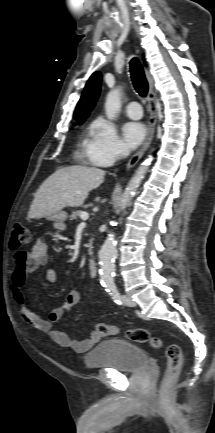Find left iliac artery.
<instances>
[{
    "label": "left iliac artery",
    "mask_w": 215,
    "mask_h": 433,
    "mask_svg": "<svg viewBox=\"0 0 215 433\" xmlns=\"http://www.w3.org/2000/svg\"><path fill=\"white\" fill-rule=\"evenodd\" d=\"M106 291L111 295L116 304L122 305L121 297L115 284L107 285Z\"/></svg>",
    "instance_id": "1"
}]
</instances>
